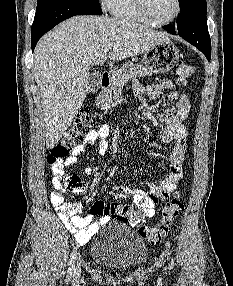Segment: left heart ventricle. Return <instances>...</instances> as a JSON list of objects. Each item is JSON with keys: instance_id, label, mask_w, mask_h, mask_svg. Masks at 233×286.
I'll use <instances>...</instances> for the list:
<instances>
[{"instance_id": "b2bd125f", "label": "left heart ventricle", "mask_w": 233, "mask_h": 286, "mask_svg": "<svg viewBox=\"0 0 233 286\" xmlns=\"http://www.w3.org/2000/svg\"><path fill=\"white\" fill-rule=\"evenodd\" d=\"M150 16L157 21H164L176 11L175 0H146Z\"/></svg>"}]
</instances>
